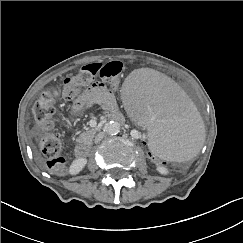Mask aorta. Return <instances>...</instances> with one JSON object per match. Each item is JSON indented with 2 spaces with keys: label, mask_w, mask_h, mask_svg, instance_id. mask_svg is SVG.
Masks as SVG:
<instances>
[{
  "label": "aorta",
  "mask_w": 243,
  "mask_h": 243,
  "mask_svg": "<svg viewBox=\"0 0 243 243\" xmlns=\"http://www.w3.org/2000/svg\"><path fill=\"white\" fill-rule=\"evenodd\" d=\"M104 131L108 135H116L120 132V124L115 121H110L104 125Z\"/></svg>",
  "instance_id": "762f6f07"
}]
</instances>
